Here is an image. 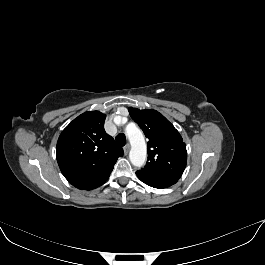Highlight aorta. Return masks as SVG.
<instances>
[{
    "label": "aorta",
    "mask_w": 265,
    "mask_h": 265,
    "mask_svg": "<svg viewBox=\"0 0 265 265\" xmlns=\"http://www.w3.org/2000/svg\"><path fill=\"white\" fill-rule=\"evenodd\" d=\"M126 135L131 143L129 159L135 167H142L147 158V146L141 130L134 124L126 128Z\"/></svg>",
    "instance_id": "1"
}]
</instances>
